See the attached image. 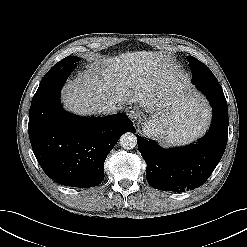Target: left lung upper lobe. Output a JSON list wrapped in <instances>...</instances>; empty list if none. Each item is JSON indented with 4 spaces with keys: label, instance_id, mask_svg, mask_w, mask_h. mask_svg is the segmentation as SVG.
Segmentation results:
<instances>
[{
    "label": "left lung upper lobe",
    "instance_id": "obj_1",
    "mask_svg": "<svg viewBox=\"0 0 247 247\" xmlns=\"http://www.w3.org/2000/svg\"><path fill=\"white\" fill-rule=\"evenodd\" d=\"M188 61H189V65H190V69L191 72L194 71L197 67H199L201 64H203L202 62H200L199 60H197L196 58H194L193 56H189L188 57Z\"/></svg>",
    "mask_w": 247,
    "mask_h": 247
}]
</instances>
